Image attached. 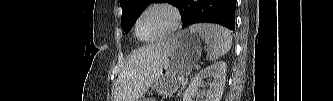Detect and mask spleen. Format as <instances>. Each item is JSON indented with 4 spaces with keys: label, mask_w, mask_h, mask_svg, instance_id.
<instances>
[{
    "label": "spleen",
    "mask_w": 333,
    "mask_h": 101,
    "mask_svg": "<svg viewBox=\"0 0 333 101\" xmlns=\"http://www.w3.org/2000/svg\"><path fill=\"white\" fill-rule=\"evenodd\" d=\"M190 30L197 32L207 44V60L215 61L225 55L232 46V36L228 29L214 24H195Z\"/></svg>",
    "instance_id": "spleen-1"
}]
</instances>
